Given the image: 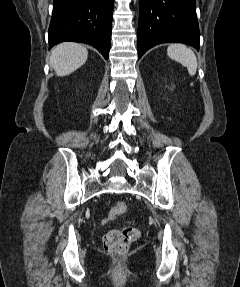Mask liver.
<instances>
[{"instance_id": "1", "label": "liver", "mask_w": 240, "mask_h": 287, "mask_svg": "<svg viewBox=\"0 0 240 287\" xmlns=\"http://www.w3.org/2000/svg\"><path fill=\"white\" fill-rule=\"evenodd\" d=\"M88 58L87 49L78 43H61L51 51L50 66L57 76H66L80 68Z\"/></svg>"}]
</instances>
